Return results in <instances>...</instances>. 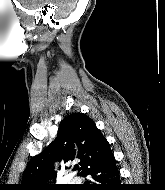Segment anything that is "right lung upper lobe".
Here are the masks:
<instances>
[{
    "mask_svg": "<svg viewBox=\"0 0 165 190\" xmlns=\"http://www.w3.org/2000/svg\"><path fill=\"white\" fill-rule=\"evenodd\" d=\"M111 154L108 141L94 122L84 113H72L60 123L55 140L29 161L18 189L62 188L64 186L45 184L49 179H56L55 161L80 159L81 175Z\"/></svg>",
    "mask_w": 165,
    "mask_h": 190,
    "instance_id": "obj_1",
    "label": "right lung upper lobe"
}]
</instances>
